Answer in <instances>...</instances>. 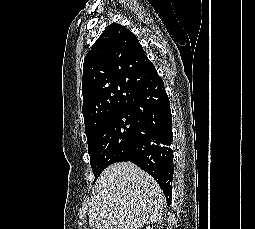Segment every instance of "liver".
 I'll return each instance as SVG.
<instances>
[{"instance_id": "liver-1", "label": "liver", "mask_w": 255, "mask_h": 229, "mask_svg": "<svg viewBox=\"0 0 255 229\" xmlns=\"http://www.w3.org/2000/svg\"><path fill=\"white\" fill-rule=\"evenodd\" d=\"M91 199L90 229H139L158 220L165 205L160 186L132 162L106 168Z\"/></svg>"}]
</instances>
